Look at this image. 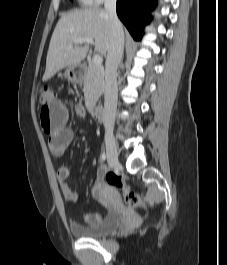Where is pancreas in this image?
<instances>
[{
	"mask_svg": "<svg viewBox=\"0 0 227 265\" xmlns=\"http://www.w3.org/2000/svg\"><path fill=\"white\" fill-rule=\"evenodd\" d=\"M85 102L94 105L104 92V72L94 63L89 64L84 78Z\"/></svg>",
	"mask_w": 227,
	"mask_h": 265,
	"instance_id": "obj_1",
	"label": "pancreas"
}]
</instances>
